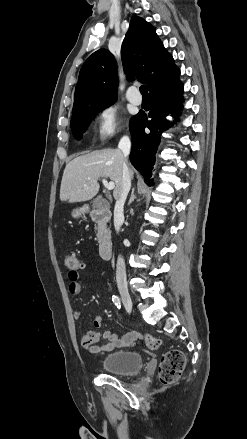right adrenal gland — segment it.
I'll use <instances>...</instances> for the list:
<instances>
[{
  "label": "right adrenal gland",
  "instance_id": "1",
  "mask_svg": "<svg viewBox=\"0 0 247 439\" xmlns=\"http://www.w3.org/2000/svg\"><path fill=\"white\" fill-rule=\"evenodd\" d=\"M135 188H132L131 197L128 201V205H130L137 197L134 194Z\"/></svg>",
  "mask_w": 247,
  "mask_h": 439
}]
</instances>
